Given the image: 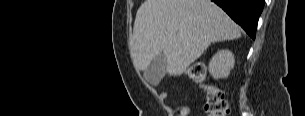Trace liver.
Listing matches in <instances>:
<instances>
[{"mask_svg": "<svg viewBox=\"0 0 305 116\" xmlns=\"http://www.w3.org/2000/svg\"><path fill=\"white\" fill-rule=\"evenodd\" d=\"M239 26L210 0H145L137 11L130 52L139 70L159 54L180 76L212 42L237 39Z\"/></svg>", "mask_w": 305, "mask_h": 116, "instance_id": "liver-1", "label": "liver"}]
</instances>
